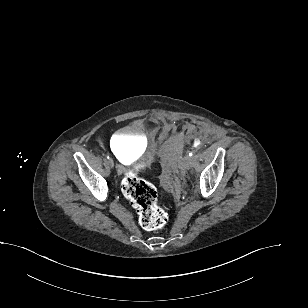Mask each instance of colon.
Here are the masks:
<instances>
[{"label": "colon", "instance_id": "colon-1", "mask_svg": "<svg viewBox=\"0 0 308 308\" xmlns=\"http://www.w3.org/2000/svg\"><path fill=\"white\" fill-rule=\"evenodd\" d=\"M121 188L124 196L136 209L140 225L145 230H157L167 223L168 214L158 205L153 184L139 178L134 171H128L122 180Z\"/></svg>", "mask_w": 308, "mask_h": 308}]
</instances>
